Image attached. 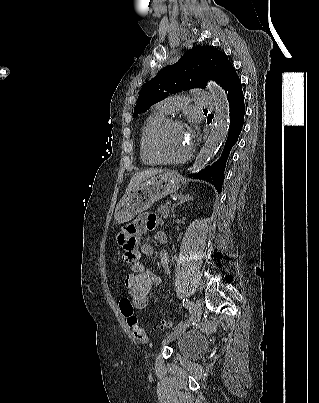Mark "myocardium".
<instances>
[{"mask_svg": "<svg viewBox=\"0 0 319 403\" xmlns=\"http://www.w3.org/2000/svg\"><path fill=\"white\" fill-rule=\"evenodd\" d=\"M171 126L185 127V123L178 118H166L164 119L153 131L150 138V150L153 156L161 163L165 164H181L188 161L194 152V145L191 142L188 152L180 158H168L162 154L159 148V139L162 133Z\"/></svg>", "mask_w": 319, "mask_h": 403, "instance_id": "myocardium-1", "label": "myocardium"}]
</instances>
